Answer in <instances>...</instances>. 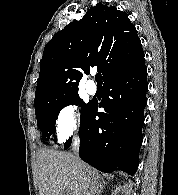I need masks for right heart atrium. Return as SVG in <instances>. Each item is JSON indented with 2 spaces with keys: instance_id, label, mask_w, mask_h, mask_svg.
Returning <instances> with one entry per match:
<instances>
[{
  "instance_id": "right-heart-atrium-1",
  "label": "right heart atrium",
  "mask_w": 178,
  "mask_h": 195,
  "mask_svg": "<svg viewBox=\"0 0 178 195\" xmlns=\"http://www.w3.org/2000/svg\"><path fill=\"white\" fill-rule=\"evenodd\" d=\"M80 127V114L78 105L65 104L56 116V130L59 141H64L74 136Z\"/></svg>"
}]
</instances>
